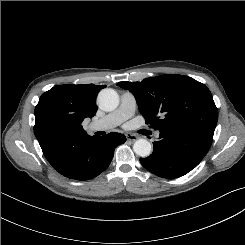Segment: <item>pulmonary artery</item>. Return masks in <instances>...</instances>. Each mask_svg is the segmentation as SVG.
<instances>
[{
	"instance_id": "obj_1",
	"label": "pulmonary artery",
	"mask_w": 245,
	"mask_h": 245,
	"mask_svg": "<svg viewBox=\"0 0 245 245\" xmlns=\"http://www.w3.org/2000/svg\"><path fill=\"white\" fill-rule=\"evenodd\" d=\"M135 110V97L131 93L125 92L121 96L119 107L104 117L93 121L89 128L92 131L112 129L132 117Z\"/></svg>"
}]
</instances>
